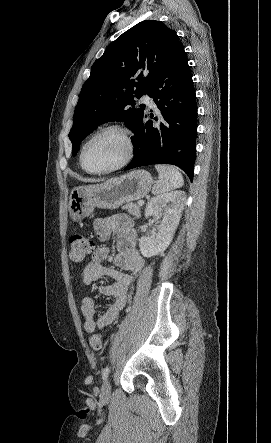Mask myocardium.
<instances>
[{"instance_id":"f54148a6","label":"myocardium","mask_w":271,"mask_h":443,"mask_svg":"<svg viewBox=\"0 0 271 443\" xmlns=\"http://www.w3.org/2000/svg\"><path fill=\"white\" fill-rule=\"evenodd\" d=\"M111 130L120 132L124 137V140L126 143V153H125L124 157L117 164H115L114 166H111L109 168L102 169V170L89 169L86 166L85 161H84V153H85V149H86L87 145L98 135H100L104 132H107V131H111ZM135 152H136V143H135V138H134V134H133L132 130L123 124L113 123V124H108L106 126H103L100 129H98L84 142V144L82 145L81 150H80L79 162H80L82 169L89 174H96V175L107 174V173L116 171V170L121 169L124 166H126L133 159Z\"/></svg>"}]
</instances>
